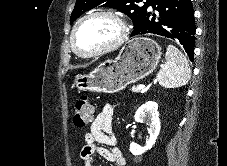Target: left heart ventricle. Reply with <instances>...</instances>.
<instances>
[{"label": "left heart ventricle", "mask_w": 227, "mask_h": 166, "mask_svg": "<svg viewBox=\"0 0 227 166\" xmlns=\"http://www.w3.org/2000/svg\"><path fill=\"white\" fill-rule=\"evenodd\" d=\"M119 36L118 25L110 18L97 16L83 22L75 34V44L82 52H92L113 43Z\"/></svg>", "instance_id": "obj_1"}]
</instances>
